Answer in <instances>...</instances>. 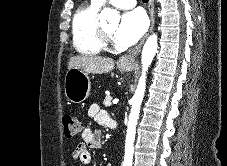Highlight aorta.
Returning <instances> with one entry per match:
<instances>
[{"label":"aorta","instance_id":"obj_1","mask_svg":"<svg viewBox=\"0 0 227 166\" xmlns=\"http://www.w3.org/2000/svg\"><path fill=\"white\" fill-rule=\"evenodd\" d=\"M119 14L117 11L111 8H104L100 13L101 22H118ZM158 46V37L156 34H152L144 44L141 63H142V75L140 77L137 89L135 91L134 97L132 99V107L129 115V123L127 129V136L125 142V156H124V166H131L134 153V140L136 125L139 118L140 107L145 93L146 86V72L151 65L153 58L156 54Z\"/></svg>","mask_w":227,"mask_h":166}]
</instances>
